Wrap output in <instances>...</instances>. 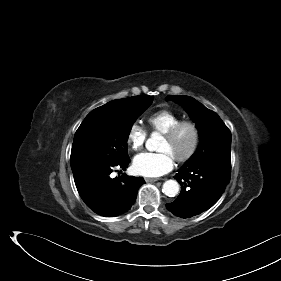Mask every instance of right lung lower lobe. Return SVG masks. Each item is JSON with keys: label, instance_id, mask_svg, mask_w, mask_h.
Returning a JSON list of instances; mask_svg holds the SVG:
<instances>
[{"label": "right lung lower lobe", "instance_id": "1", "mask_svg": "<svg viewBox=\"0 0 281 281\" xmlns=\"http://www.w3.org/2000/svg\"><path fill=\"white\" fill-rule=\"evenodd\" d=\"M129 163L128 158L119 163H89L72 169L78 193L92 211L112 217L126 212L134 204L139 187L145 183L143 177L125 174L110 177L114 167L125 170Z\"/></svg>", "mask_w": 281, "mask_h": 281}]
</instances>
